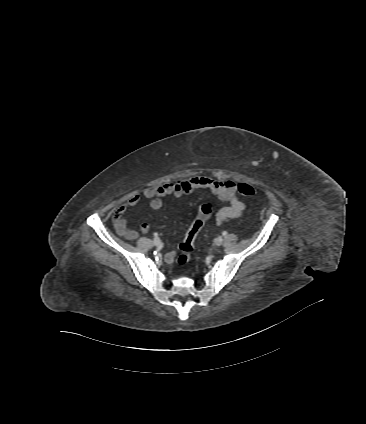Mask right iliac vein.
Segmentation results:
<instances>
[{
	"label": "right iliac vein",
	"instance_id": "1",
	"mask_svg": "<svg viewBox=\"0 0 366 424\" xmlns=\"http://www.w3.org/2000/svg\"><path fill=\"white\" fill-rule=\"evenodd\" d=\"M153 244L154 246L159 247L161 245V240L159 238H155L153 240Z\"/></svg>",
	"mask_w": 366,
	"mask_h": 424
}]
</instances>
